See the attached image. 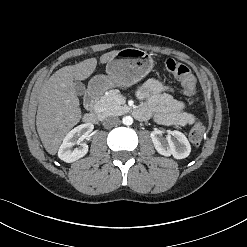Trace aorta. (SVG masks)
<instances>
[{
    "label": "aorta",
    "instance_id": "762f6f07",
    "mask_svg": "<svg viewBox=\"0 0 247 247\" xmlns=\"http://www.w3.org/2000/svg\"><path fill=\"white\" fill-rule=\"evenodd\" d=\"M122 122L124 125H127V126L132 125L133 118L131 116H125L123 117Z\"/></svg>",
    "mask_w": 247,
    "mask_h": 247
}]
</instances>
